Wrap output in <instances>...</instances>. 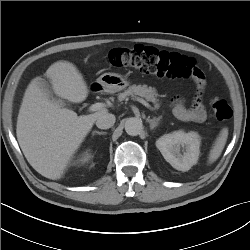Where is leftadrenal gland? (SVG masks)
Instances as JSON below:
<instances>
[{
    "label": "left adrenal gland",
    "mask_w": 250,
    "mask_h": 250,
    "mask_svg": "<svg viewBox=\"0 0 250 250\" xmlns=\"http://www.w3.org/2000/svg\"><path fill=\"white\" fill-rule=\"evenodd\" d=\"M161 119L162 116H159L158 118L154 117L153 119H150V117H148L147 122H149L150 124V129L153 130L155 127H157Z\"/></svg>",
    "instance_id": "left-adrenal-gland-1"
}]
</instances>
